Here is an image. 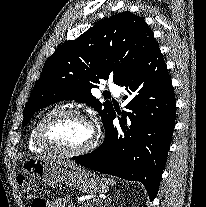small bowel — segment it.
Listing matches in <instances>:
<instances>
[{
    "label": "small bowel",
    "instance_id": "1",
    "mask_svg": "<svg viewBox=\"0 0 206 207\" xmlns=\"http://www.w3.org/2000/svg\"><path fill=\"white\" fill-rule=\"evenodd\" d=\"M66 204H67V199L60 198V199L48 201L46 207H66ZM69 207H75V206L70 205Z\"/></svg>",
    "mask_w": 206,
    "mask_h": 207
}]
</instances>
